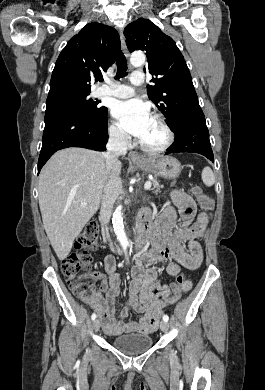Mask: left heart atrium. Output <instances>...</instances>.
<instances>
[{
	"instance_id": "left-heart-atrium-1",
	"label": "left heart atrium",
	"mask_w": 265,
	"mask_h": 390,
	"mask_svg": "<svg viewBox=\"0 0 265 390\" xmlns=\"http://www.w3.org/2000/svg\"><path fill=\"white\" fill-rule=\"evenodd\" d=\"M112 113L120 127L139 140L146 133L152 120L148 106L137 99L116 102Z\"/></svg>"
}]
</instances>
